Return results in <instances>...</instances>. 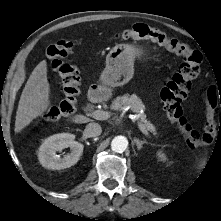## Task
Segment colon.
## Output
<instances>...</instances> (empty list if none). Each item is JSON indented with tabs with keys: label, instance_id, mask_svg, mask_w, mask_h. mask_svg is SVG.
<instances>
[{
	"label": "colon",
	"instance_id": "obj_1",
	"mask_svg": "<svg viewBox=\"0 0 221 221\" xmlns=\"http://www.w3.org/2000/svg\"><path fill=\"white\" fill-rule=\"evenodd\" d=\"M116 39L150 41L182 59L177 72L160 93L165 112L167 117L177 126L188 146L197 147L212 143L216 133L214 104L211 101L212 89L208 88L207 90V120L202 131L193 128L182 108V101L187 97L193 80L199 74L203 60L202 53L178 39L167 36L158 29L143 24H136L119 32ZM73 45L69 40H60L50 45L46 50L53 70L61 77L64 90V100L58 106L50 108L45 114L49 121H56L61 117L70 116L76 109L81 84L80 71L75 64L67 59Z\"/></svg>",
	"mask_w": 221,
	"mask_h": 221
}]
</instances>
